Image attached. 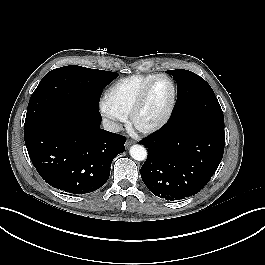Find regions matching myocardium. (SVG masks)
<instances>
[{
  "label": "myocardium",
  "mask_w": 265,
  "mask_h": 265,
  "mask_svg": "<svg viewBox=\"0 0 265 265\" xmlns=\"http://www.w3.org/2000/svg\"><path fill=\"white\" fill-rule=\"evenodd\" d=\"M160 78H165L167 79L171 86H172V98L171 101L169 103V106L165 112V114L163 115V117L158 120L157 122H155L152 125H148V126H141L138 124L137 122V118L138 115L140 114V112L142 111L143 107L146 104V101L148 99L149 93L153 87V85L155 84V82L160 79ZM177 103V86L175 81L173 80L172 77H170L167 74L164 73H160V74H156L153 79L151 81H149L146 86L143 88V90L141 91L140 95L138 96L135 104L133 105L130 114H129V122L131 127L137 131L138 133L144 134V135H150L153 134L159 130H161L163 127H165V125L169 122V120L171 119L175 106Z\"/></svg>",
  "instance_id": "f54148a6"
}]
</instances>
